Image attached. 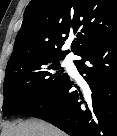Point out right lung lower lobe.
<instances>
[{"mask_svg": "<svg viewBox=\"0 0 117 136\" xmlns=\"http://www.w3.org/2000/svg\"><path fill=\"white\" fill-rule=\"evenodd\" d=\"M79 56L74 63L85 84L67 76L16 115L43 119L70 136H117V32Z\"/></svg>", "mask_w": 117, "mask_h": 136, "instance_id": "obj_1", "label": "right lung lower lobe"}]
</instances>
